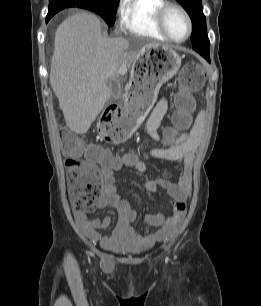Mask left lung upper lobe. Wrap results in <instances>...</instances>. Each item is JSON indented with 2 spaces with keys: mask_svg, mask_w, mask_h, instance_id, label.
Wrapping results in <instances>:
<instances>
[{
  "mask_svg": "<svg viewBox=\"0 0 261 306\" xmlns=\"http://www.w3.org/2000/svg\"><path fill=\"white\" fill-rule=\"evenodd\" d=\"M190 15L192 21L191 42L193 49L210 61V42L206 33V18L203 14L202 0H177Z\"/></svg>",
  "mask_w": 261,
  "mask_h": 306,
  "instance_id": "1",
  "label": "left lung upper lobe"
}]
</instances>
